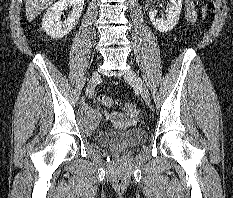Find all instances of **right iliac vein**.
Masks as SVG:
<instances>
[{"instance_id": "obj_1", "label": "right iliac vein", "mask_w": 233, "mask_h": 198, "mask_svg": "<svg viewBox=\"0 0 233 198\" xmlns=\"http://www.w3.org/2000/svg\"><path fill=\"white\" fill-rule=\"evenodd\" d=\"M99 77V73L97 71H94L92 73V76L89 80V83H88V86H87V89H86V94L87 95H92L93 92H94V88H95V83H96V80L98 79Z\"/></svg>"}]
</instances>
